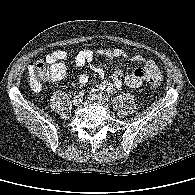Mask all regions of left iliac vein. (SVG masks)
Segmentation results:
<instances>
[{"label":"left iliac vein","mask_w":195,"mask_h":195,"mask_svg":"<svg viewBox=\"0 0 195 195\" xmlns=\"http://www.w3.org/2000/svg\"><path fill=\"white\" fill-rule=\"evenodd\" d=\"M88 98L89 100L98 102L100 104L105 103V99L101 95H98V94H90Z\"/></svg>","instance_id":"1"}]
</instances>
